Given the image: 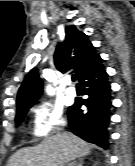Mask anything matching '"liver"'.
<instances>
[{
	"label": "liver",
	"mask_w": 135,
	"mask_h": 166,
	"mask_svg": "<svg viewBox=\"0 0 135 166\" xmlns=\"http://www.w3.org/2000/svg\"><path fill=\"white\" fill-rule=\"evenodd\" d=\"M92 145L70 132L45 138L39 145L15 152L7 166H60L91 152Z\"/></svg>",
	"instance_id": "1"
}]
</instances>
